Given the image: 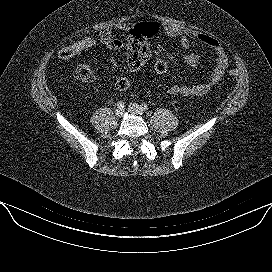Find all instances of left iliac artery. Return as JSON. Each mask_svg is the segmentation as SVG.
<instances>
[{
	"mask_svg": "<svg viewBox=\"0 0 272 272\" xmlns=\"http://www.w3.org/2000/svg\"><path fill=\"white\" fill-rule=\"evenodd\" d=\"M141 107H142V109L144 110V111H147L149 108H148V105L147 104H145V103H142L141 104Z\"/></svg>",
	"mask_w": 272,
	"mask_h": 272,
	"instance_id": "left-iliac-artery-1",
	"label": "left iliac artery"
}]
</instances>
